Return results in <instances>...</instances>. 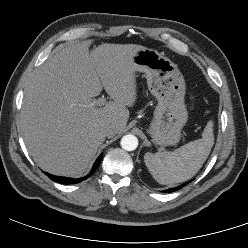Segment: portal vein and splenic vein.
I'll return each mask as SVG.
<instances>
[{"instance_id": "obj_1", "label": "portal vein and splenic vein", "mask_w": 248, "mask_h": 248, "mask_svg": "<svg viewBox=\"0 0 248 248\" xmlns=\"http://www.w3.org/2000/svg\"><path fill=\"white\" fill-rule=\"evenodd\" d=\"M105 103H106V99H105V98H99L96 102L91 103V104H90V105H88V106H93V105H96V106L101 107V106H104V105H105Z\"/></svg>"}]
</instances>
